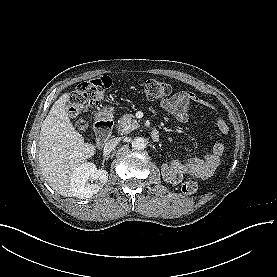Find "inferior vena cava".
Wrapping results in <instances>:
<instances>
[{"mask_svg": "<svg viewBox=\"0 0 277 277\" xmlns=\"http://www.w3.org/2000/svg\"><path fill=\"white\" fill-rule=\"evenodd\" d=\"M120 142V138L116 137V138H112L108 141L105 142L104 145V150L106 152H110L112 151Z\"/></svg>", "mask_w": 277, "mask_h": 277, "instance_id": "inferior-vena-cava-1", "label": "inferior vena cava"}]
</instances>
